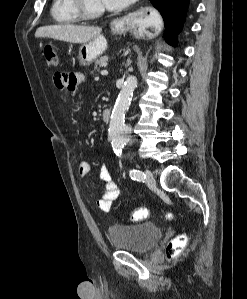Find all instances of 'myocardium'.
Returning a JSON list of instances; mask_svg holds the SVG:
<instances>
[{"label": "myocardium", "instance_id": "myocardium-1", "mask_svg": "<svg viewBox=\"0 0 247 299\" xmlns=\"http://www.w3.org/2000/svg\"><path fill=\"white\" fill-rule=\"evenodd\" d=\"M74 7L82 19H96L105 13L104 8L102 9H91L88 5L87 0H73Z\"/></svg>", "mask_w": 247, "mask_h": 299}]
</instances>
